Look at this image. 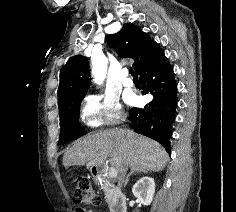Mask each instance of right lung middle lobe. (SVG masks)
<instances>
[{"label":"right lung middle lobe","mask_w":236,"mask_h":212,"mask_svg":"<svg viewBox=\"0 0 236 212\" xmlns=\"http://www.w3.org/2000/svg\"><path fill=\"white\" fill-rule=\"evenodd\" d=\"M84 96L73 100L67 107L60 110L61 131L59 144H65L86 134L81 129L79 120L80 104Z\"/></svg>","instance_id":"1"}]
</instances>
